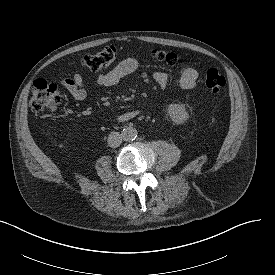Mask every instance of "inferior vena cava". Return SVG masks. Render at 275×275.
Wrapping results in <instances>:
<instances>
[{
  "mask_svg": "<svg viewBox=\"0 0 275 275\" xmlns=\"http://www.w3.org/2000/svg\"><path fill=\"white\" fill-rule=\"evenodd\" d=\"M108 145L112 148L118 147L122 142V135L119 132H111L108 136Z\"/></svg>",
  "mask_w": 275,
  "mask_h": 275,
  "instance_id": "1",
  "label": "inferior vena cava"
}]
</instances>
